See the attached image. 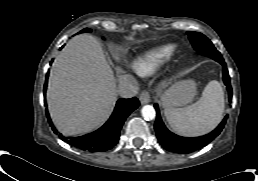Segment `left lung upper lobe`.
I'll return each mask as SVG.
<instances>
[{
    "label": "left lung upper lobe",
    "instance_id": "5c2ea615",
    "mask_svg": "<svg viewBox=\"0 0 258 181\" xmlns=\"http://www.w3.org/2000/svg\"><path fill=\"white\" fill-rule=\"evenodd\" d=\"M189 39L193 47L202 55L209 56L214 60L220 62L224 61L220 52L214 47L212 42L203 34L198 32H188Z\"/></svg>",
    "mask_w": 258,
    "mask_h": 181
}]
</instances>
